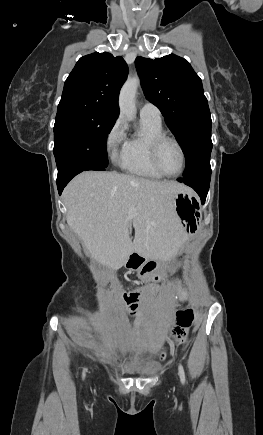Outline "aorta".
<instances>
[{"label": "aorta", "instance_id": "aorta-1", "mask_svg": "<svg viewBox=\"0 0 263 435\" xmlns=\"http://www.w3.org/2000/svg\"><path fill=\"white\" fill-rule=\"evenodd\" d=\"M139 84L138 77H131L125 82L120 92V112L129 120H133L136 115L135 95Z\"/></svg>", "mask_w": 263, "mask_h": 435}]
</instances>
